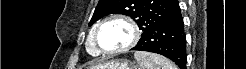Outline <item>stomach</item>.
<instances>
[{
    "instance_id": "obj_1",
    "label": "stomach",
    "mask_w": 246,
    "mask_h": 69,
    "mask_svg": "<svg viewBox=\"0 0 246 69\" xmlns=\"http://www.w3.org/2000/svg\"><path fill=\"white\" fill-rule=\"evenodd\" d=\"M87 69H136L124 60H112L98 65H93Z\"/></svg>"
}]
</instances>
